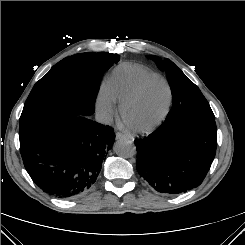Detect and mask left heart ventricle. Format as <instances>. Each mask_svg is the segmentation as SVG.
<instances>
[{"label": "left heart ventricle", "instance_id": "b2bd125f", "mask_svg": "<svg viewBox=\"0 0 245 245\" xmlns=\"http://www.w3.org/2000/svg\"><path fill=\"white\" fill-rule=\"evenodd\" d=\"M167 96V89L162 83L150 84L140 99L126 110L127 121L138 126L152 123L162 113Z\"/></svg>", "mask_w": 245, "mask_h": 245}]
</instances>
